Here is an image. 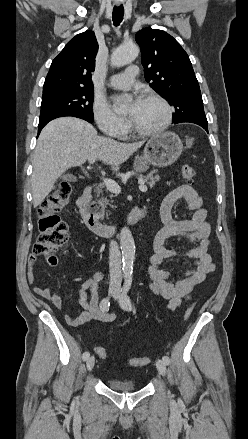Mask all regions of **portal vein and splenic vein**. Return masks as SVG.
I'll return each mask as SVG.
<instances>
[{
  "label": "portal vein and splenic vein",
  "mask_w": 248,
  "mask_h": 439,
  "mask_svg": "<svg viewBox=\"0 0 248 439\" xmlns=\"http://www.w3.org/2000/svg\"><path fill=\"white\" fill-rule=\"evenodd\" d=\"M95 160H96L95 158H90L89 163L93 164L95 162ZM103 183L110 192L115 193V194H119L121 192V187L118 185V183L116 181L109 179V178H103ZM139 190L141 192L147 191V187L144 185L143 181L140 182Z\"/></svg>",
  "instance_id": "portal-vein-and-splenic-vein-1"
}]
</instances>
